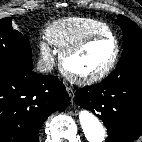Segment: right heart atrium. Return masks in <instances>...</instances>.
<instances>
[{
  "label": "right heart atrium",
  "mask_w": 142,
  "mask_h": 142,
  "mask_svg": "<svg viewBox=\"0 0 142 142\" xmlns=\"http://www.w3.org/2000/svg\"><path fill=\"white\" fill-rule=\"evenodd\" d=\"M39 50H40V54L42 58L46 62L50 63L53 61V51H52L51 44L49 41L41 40L39 42Z\"/></svg>",
  "instance_id": "1"
}]
</instances>
